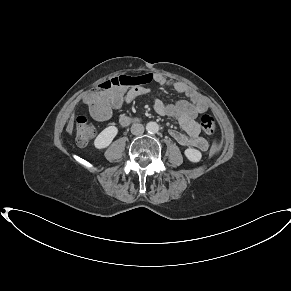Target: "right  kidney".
Here are the masks:
<instances>
[{"label":"right kidney","mask_w":291,"mask_h":291,"mask_svg":"<svg viewBox=\"0 0 291 291\" xmlns=\"http://www.w3.org/2000/svg\"><path fill=\"white\" fill-rule=\"evenodd\" d=\"M118 133L116 126H109L105 128L94 140V146L97 149L108 147Z\"/></svg>","instance_id":"ca27d5eb"}]
</instances>
